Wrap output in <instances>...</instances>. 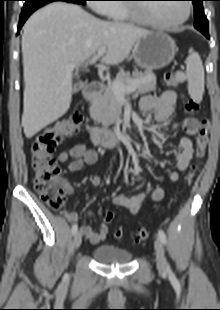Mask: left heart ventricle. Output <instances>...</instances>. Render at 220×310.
Wrapping results in <instances>:
<instances>
[{
  "label": "left heart ventricle",
  "instance_id": "obj_1",
  "mask_svg": "<svg viewBox=\"0 0 220 310\" xmlns=\"http://www.w3.org/2000/svg\"><path fill=\"white\" fill-rule=\"evenodd\" d=\"M150 15L162 22L171 23L177 21L185 14L184 3H162L143 8Z\"/></svg>",
  "mask_w": 220,
  "mask_h": 310
}]
</instances>
